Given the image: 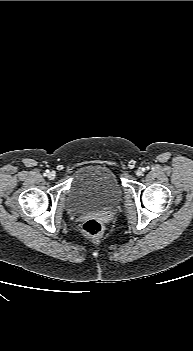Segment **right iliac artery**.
<instances>
[{
    "mask_svg": "<svg viewBox=\"0 0 193 351\" xmlns=\"http://www.w3.org/2000/svg\"><path fill=\"white\" fill-rule=\"evenodd\" d=\"M48 173H49V171L47 170V171L44 173V176H46Z\"/></svg>",
    "mask_w": 193,
    "mask_h": 351,
    "instance_id": "82829eb1",
    "label": "right iliac artery"
}]
</instances>
